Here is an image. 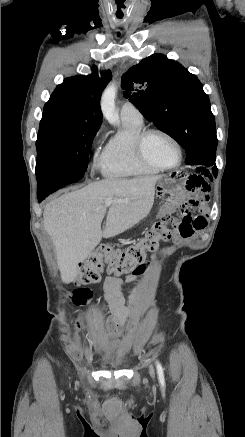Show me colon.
<instances>
[{
	"instance_id": "5ec220e1",
	"label": "colon",
	"mask_w": 245,
	"mask_h": 437,
	"mask_svg": "<svg viewBox=\"0 0 245 437\" xmlns=\"http://www.w3.org/2000/svg\"><path fill=\"white\" fill-rule=\"evenodd\" d=\"M167 215L171 221V216ZM164 223L162 217L137 245L126 250L117 249L110 245L98 247L82 264L77 284L97 283L101 280L104 272L114 276L141 272L146 267L144 264L146 251L156 250L160 242L168 241L172 236L171 229H167ZM90 297L91 291L84 287L76 289L73 293V301L76 304H85Z\"/></svg>"
}]
</instances>
